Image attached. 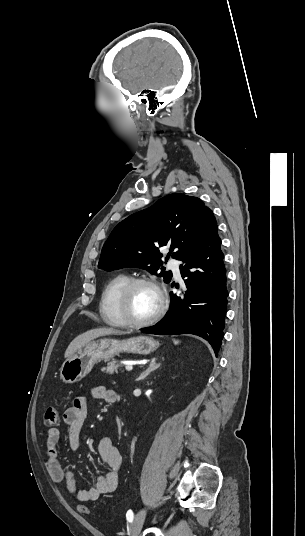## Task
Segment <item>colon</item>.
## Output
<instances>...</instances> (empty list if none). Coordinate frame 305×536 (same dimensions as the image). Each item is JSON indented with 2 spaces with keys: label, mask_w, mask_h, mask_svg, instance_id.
Here are the masks:
<instances>
[{
  "label": "colon",
  "mask_w": 305,
  "mask_h": 536,
  "mask_svg": "<svg viewBox=\"0 0 305 536\" xmlns=\"http://www.w3.org/2000/svg\"><path fill=\"white\" fill-rule=\"evenodd\" d=\"M58 423V411L55 406H49L46 408L44 417H43V424L45 427H54ZM77 509L81 513H86L89 511L90 506L86 502H81L78 504Z\"/></svg>",
  "instance_id": "colon-1"
}]
</instances>
